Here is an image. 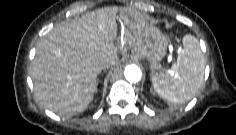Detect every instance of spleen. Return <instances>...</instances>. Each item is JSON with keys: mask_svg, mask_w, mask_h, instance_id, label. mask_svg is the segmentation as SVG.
<instances>
[{"mask_svg": "<svg viewBox=\"0 0 236 135\" xmlns=\"http://www.w3.org/2000/svg\"><path fill=\"white\" fill-rule=\"evenodd\" d=\"M205 61L198 40L192 35L183 37V49L177 57L174 75L160 72L152 77L153 87L168 102L181 104L191 100L204 79Z\"/></svg>", "mask_w": 236, "mask_h": 135, "instance_id": "obj_1", "label": "spleen"}]
</instances>
